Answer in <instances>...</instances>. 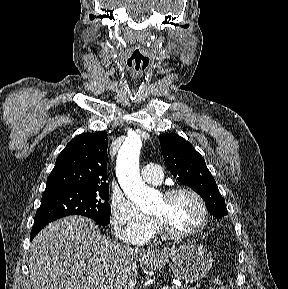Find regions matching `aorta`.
Instances as JSON below:
<instances>
[{
    "label": "aorta",
    "mask_w": 288,
    "mask_h": 289,
    "mask_svg": "<svg viewBox=\"0 0 288 289\" xmlns=\"http://www.w3.org/2000/svg\"><path fill=\"white\" fill-rule=\"evenodd\" d=\"M142 146L141 138L133 134L121 146L116 164L119 184L128 198L142 212L151 211L156 202V194L142 180L139 173V155Z\"/></svg>",
    "instance_id": "obj_1"
}]
</instances>
